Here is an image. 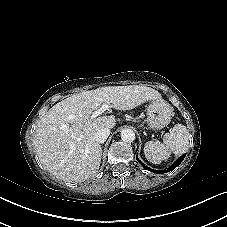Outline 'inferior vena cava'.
<instances>
[{
	"label": "inferior vena cava",
	"instance_id": "1",
	"mask_svg": "<svg viewBox=\"0 0 227 227\" xmlns=\"http://www.w3.org/2000/svg\"><path fill=\"white\" fill-rule=\"evenodd\" d=\"M110 135V129L109 128H102L96 131L94 134V139L98 143H104L108 136Z\"/></svg>",
	"mask_w": 227,
	"mask_h": 227
}]
</instances>
